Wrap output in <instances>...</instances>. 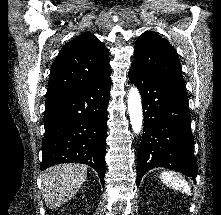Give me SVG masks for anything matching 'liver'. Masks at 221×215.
<instances>
[{
	"label": "liver",
	"mask_w": 221,
	"mask_h": 215,
	"mask_svg": "<svg viewBox=\"0 0 221 215\" xmlns=\"http://www.w3.org/2000/svg\"><path fill=\"white\" fill-rule=\"evenodd\" d=\"M87 177V166L82 164H58L46 170L42 176V195L49 208L67 203L81 188Z\"/></svg>",
	"instance_id": "liver-1"
}]
</instances>
